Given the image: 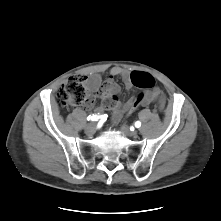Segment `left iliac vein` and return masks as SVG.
Listing matches in <instances>:
<instances>
[{
	"label": "left iliac vein",
	"mask_w": 221,
	"mask_h": 221,
	"mask_svg": "<svg viewBox=\"0 0 221 221\" xmlns=\"http://www.w3.org/2000/svg\"><path fill=\"white\" fill-rule=\"evenodd\" d=\"M121 131L129 137H136L138 134L136 130H130L126 125L121 126Z\"/></svg>",
	"instance_id": "4c4485c4"
}]
</instances>
